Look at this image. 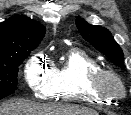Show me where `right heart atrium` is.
<instances>
[{"instance_id":"d8ad5b80","label":"right heart atrium","mask_w":131,"mask_h":115,"mask_svg":"<svg viewBox=\"0 0 131 115\" xmlns=\"http://www.w3.org/2000/svg\"><path fill=\"white\" fill-rule=\"evenodd\" d=\"M24 79L31 91L39 98H48L55 90L54 68L41 53L34 54L26 61Z\"/></svg>"}]
</instances>
